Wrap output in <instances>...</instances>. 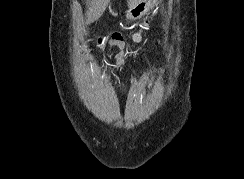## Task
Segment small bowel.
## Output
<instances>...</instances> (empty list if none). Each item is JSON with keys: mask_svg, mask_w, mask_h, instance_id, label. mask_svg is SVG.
Instances as JSON below:
<instances>
[{"mask_svg": "<svg viewBox=\"0 0 244 179\" xmlns=\"http://www.w3.org/2000/svg\"><path fill=\"white\" fill-rule=\"evenodd\" d=\"M147 26L148 24L146 21L141 25V29L132 35L131 43L127 41L119 32H114L111 34L107 41V45L118 49V52L115 55V59L121 69H125L127 67L125 58L134 54V46L140 44L143 41V30H145Z\"/></svg>", "mask_w": 244, "mask_h": 179, "instance_id": "1", "label": "small bowel"}]
</instances>
